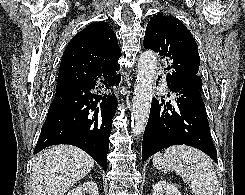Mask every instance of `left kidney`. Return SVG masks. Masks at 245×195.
Here are the masks:
<instances>
[{
	"label": "left kidney",
	"mask_w": 245,
	"mask_h": 195,
	"mask_svg": "<svg viewBox=\"0 0 245 195\" xmlns=\"http://www.w3.org/2000/svg\"><path fill=\"white\" fill-rule=\"evenodd\" d=\"M182 195L181 192L172 184L165 180H160L154 185V191L152 195Z\"/></svg>",
	"instance_id": "5707ae66"
}]
</instances>
